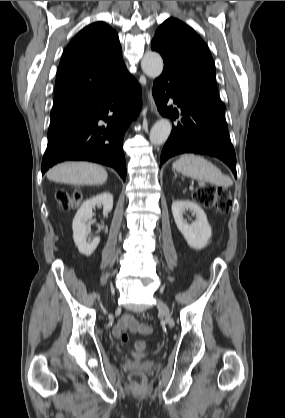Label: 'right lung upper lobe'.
Wrapping results in <instances>:
<instances>
[{
	"label": "right lung upper lobe",
	"instance_id": "obj_1",
	"mask_svg": "<svg viewBox=\"0 0 285 418\" xmlns=\"http://www.w3.org/2000/svg\"><path fill=\"white\" fill-rule=\"evenodd\" d=\"M128 76L117 33L104 22L92 23L63 52L53 109L79 106L121 84Z\"/></svg>",
	"mask_w": 285,
	"mask_h": 418
}]
</instances>
